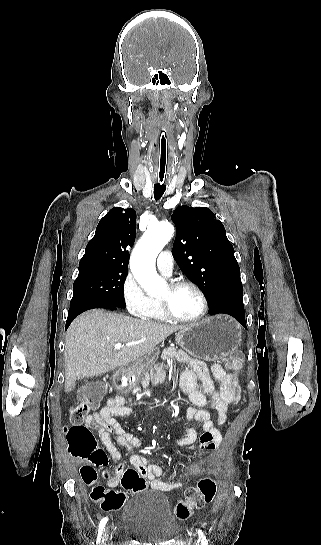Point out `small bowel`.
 <instances>
[{"mask_svg":"<svg viewBox=\"0 0 321 545\" xmlns=\"http://www.w3.org/2000/svg\"><path fill=\"white\" fill-rule=\"evenodd\" d=\"M187 362L189 366L180 377L181 389L188 396L190 402L186 418L189 421L202 423L203 432L199 436L201 447L203 450H212L221 443L222 437L207 409L214 411L218 416L217 424L223 425L226 422L229 405L239 401L240 386L238 379L228 374L219 364L215 363L208 367L200 360L187 359ZM210 373L214 380L219 383V389L215 388ZM199 381L202 385L201 389L197 386ZM130 413V400L122 396H116L110 398L99 412L90 414L85 419V425L98 432L109 457L117 462L112 476L104 474L105 484L109 488L116 487L125 471L122 454L111 437L114 435L116 442L130 454L129 461L133 468L143 478L150 481L152 488L165 492L180 489L183 482H164L160 479L163 470L157 464L156 459L143 455L141 440L137 436L126 432L117 422L116 417L127 416ZM183 430L185 436L175 441L172 447L183 448L193 444L198 439V433L193 427L187 426ZM108 455L103 452L101 457L89 459L88 463L81 468V475L86 484L94 485L98 483L95 468L106 467L109 461Z\"/></svg>","mask_w":321,"mask_h":545,"instance_id":"obj_1","label":"small bowel"}]
</instances>
